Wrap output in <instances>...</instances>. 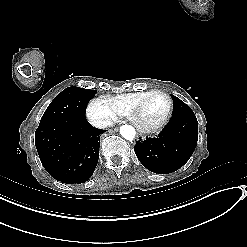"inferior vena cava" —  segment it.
<instances>
[{
	"mask_svg": "<svg viewBox=\"0 0 247 247\" xmlns=\"http://www.w3.org/2000/svg\"><path fill=\"white\" fill-rule=\"evenodd\" d=\"M113 123L111 120L99 119L94 121V126L98 129H105L108 126H111Z\"/></svg>",
	"mask_w": 247,
	"mask_h": 247,
	"instance_id": "obj_1",
	"label": "inferior vena cava"
}]
</instances>
